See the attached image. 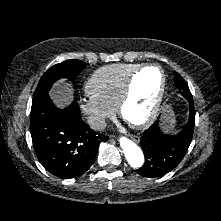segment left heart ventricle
<instances>
[{"instance_id":"b2bd125f","label":"left heart ventricle","mask_w":221,"mask_h":221,"mask_svg":"<svg viewBox=\"0 0 221 221\" xmlns=\"http://www.w3.org/2000/svg\"><path fill=\"white\" fill-rule=\"evenodd\" d=\"M161 85V75L157 68L142 71L134 80L133 95L124 110L130 122L143 120L150 113Z\"/></svg>"}]
</instances>
